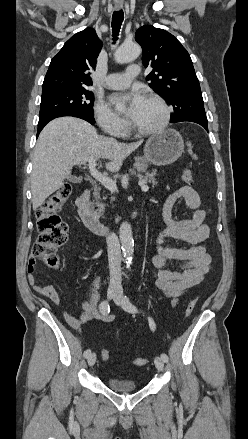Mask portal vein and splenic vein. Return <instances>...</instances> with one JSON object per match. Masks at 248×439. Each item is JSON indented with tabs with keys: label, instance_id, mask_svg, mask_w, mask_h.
<instances>
[{
	"label": "portal vein and splenic vein",
	"instance_id": "obj_1",
	"mask_svg": "<svg viewBox=\"0 0 248 439\" xmlns=\"http://www.w3.org/2000/svg\"><path fill=\"white\" fill-rule=\"evenodd\" d=\"M89 172L93 176V178L103 184L111 192L118 191L116 182L113 179L103 175L96 169V160L94 159L89 160ZM139 185L141 186V190L143 192H147L149 190V187L145 185V182L140 181Z\"/></svg>",
	"mask_w": 248,
	"mask_h": 439
}]
</instances>
